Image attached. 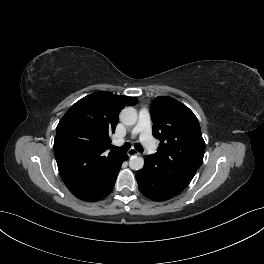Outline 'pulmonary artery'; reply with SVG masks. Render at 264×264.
<instances>
[{
  "label": "pulmonary artery",
  "mask_w": 264,
  "mask_h": 264,
  "mask_svg": "<svg viewBox=\"0 0 264 264\" xmlns=\"http://www.w3.org/2000/svg\"><path fill=\"white\" fill-rule=\"evenodd\" d=\"M132 135H139L141 142L150 154L155 153L156 145L151 135L150 130V113L147 109H141L139 112V119L136 126L132 130ZM123 140H119L121 144Z\"/></svg>",
  "instance_id": "1"
}]
</instances>
